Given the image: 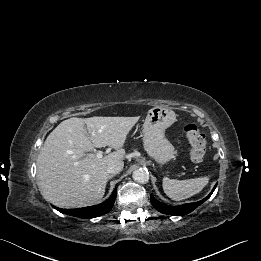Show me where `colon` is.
I'll return each instance as SVG.
<instances>
[{
    "mask_svg": "<svg viewBox=\"0 0 261 261\" xmlns=\"http://www.w3.org/2000/svg\"><path fill=\"white\" fill-rule=\"evenodd\" d=\"M184 132L188 143L190 144V158L194 163H200L206 155L205 136L199 131L195 124H187Z\"/></svg>",
    "mask_w": 261,
    "mask_h": 261,
    "instance_id": "obj_1",
    "label": "colon"
}]
</instances>
